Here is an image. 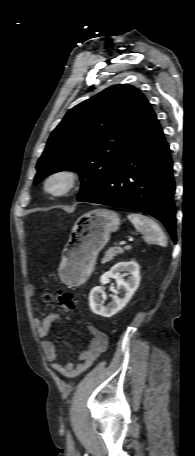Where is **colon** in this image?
Returning <instances> with one entry per match:
<instances>
[{
    "label": "colon",
    "mask_w": 195,
    "mask_h": 456,
    "mask_svg": "<svg viewBox=\"0 0 195 456\" xmlns=\"http://www.w3.org/2000/svg\"><path fill=\"white\" fill-rule=\"evenodd\" d=\"M43 298L46 301L55 300L67 310H72L76 306V301L73 299L72 295L60 289L55 290L53 293H45Z\"/></svg>",
    "instance_id": "obj_1"
}]
</instances>
